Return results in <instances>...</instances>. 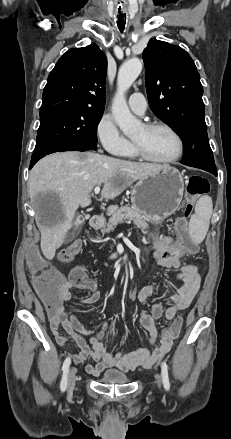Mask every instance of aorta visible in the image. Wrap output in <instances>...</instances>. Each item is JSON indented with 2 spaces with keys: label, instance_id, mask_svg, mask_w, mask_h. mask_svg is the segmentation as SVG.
<instances>
[{
  "label": "aorta",
  "instance_id": "obj_1",
  "mask_svg": "<svg viewBox=\"0 0 231 439\" xmlns=\"http://www.w3.org/2000/svg\"><path fill=\"white\" fill-rule=\"evenodd\" d=\"M142 70V62L133 58L120 67L117 77V92L112 103V114L117 125L126 136L134 135L139 126V121L131 114L125 93L137 79Z\"/></svg>",
  "mask_w": 231,
  "mask_h": 439
}]
</instances>
